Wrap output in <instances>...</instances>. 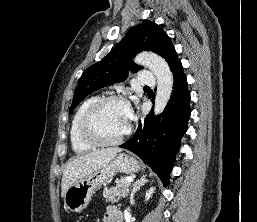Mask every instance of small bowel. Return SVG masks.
<instances>
[{
	"label": "small bowel",
	"instance_id": "c3829d8e",
	"mask_svg": "<svg viewBox=\"0 0 257 222\" xmlns=\"http://www.w3.org/2000/svg\"><path fill=\"white\" fill-rule=\"evenodd\" d=\"M106 222H121L120 212L115 207H109L105 213Z\"/></svg>",
	"mask_w": 257,
	"mask_h": 222
}]
</instances>
